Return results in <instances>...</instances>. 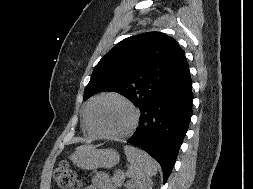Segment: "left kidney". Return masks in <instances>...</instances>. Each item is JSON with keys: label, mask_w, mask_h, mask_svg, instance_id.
Returning <instances> with one entry per match:
<instances>
[{"label": "left kidney", "mask_w": 253, "mask_h": 189, "mask_svg": "<svg viewBox=\"0 0 253 189\" xmlns=\"http://www.w3.org/2000/svg\"><path fill=\"white\" fill-rule=\"evenodd\" d=\"M126 189H152V180H130L125 184Z\"/></svg>", "instance_id": "1"}]
</instances>
